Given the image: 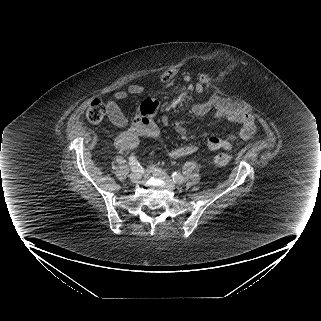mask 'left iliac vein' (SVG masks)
<instances>
[{"mask_svg": "<svg viewBox=\"0 0 321 321\" xmlns=\"http://www.w3.org/2000/svg\"><path fill=\"white\" fill-rule=\"evenodd\" d=\"M151 172L162 179L164 182H166L171 188H175L176 184L175 182L161 169L157 168L156 166H151L150 167Z\"/></svg>", "mask_w": 321, "mask_h": 321, "instance_id": "1", "label": "left iliac vein"}]
</instances>
